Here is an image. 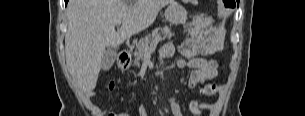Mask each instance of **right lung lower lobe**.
Listing matches in <instances>:
<instances>
[{"label":"right lung lower lobe","instance_id":"98d812e1","mask_svg":"<svg viewBox=\"0 0 305 116\" xmlns=\"http://www.w3.org/2000/svg\"><path fill=\"white\" fill-rule=\"evenodd\" d=\"M68 0H65V3L67 4Z\"/></svg>","mask_w":305,"mask_h":116}]
</instances>
